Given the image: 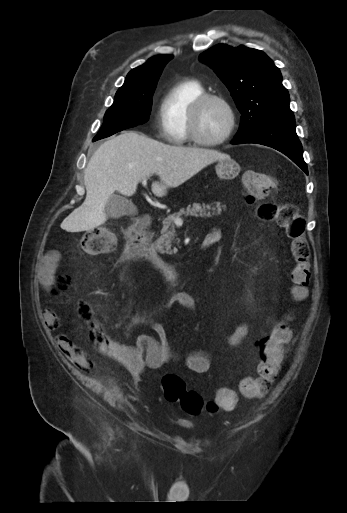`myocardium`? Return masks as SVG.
<instances>
[{"label": "myocardium", "mask_w": 347, "mask_h": 513, "mask_svg": "<svg viewBox=\"0 0 347 513\" xmlns=\"http://www.w3.org/2000/svg\"><path fill=\"white\" fill-rule=\"evenodd\" d=\"M210 101H216L222 104L229 115V124L226 132L220 138L214 140L205 139L199 133V121L202 109L205 104ZM187 124L190 141L201 146L215 147L225 143L232 136L236 128L237 116L234 107L227 98L220 94L204 93L197 97L191 104Z\"/></svg>", "instance_id": "myocardium-1"}]
</instances>
